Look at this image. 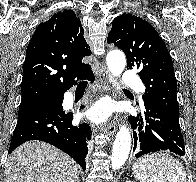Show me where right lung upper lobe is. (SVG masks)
<instances>
[{
    "instance_id": "1",
    "label": "right lung upper lobe",
    "mask_w": 196,
    "mask_h": 182,
    "mask_svg": "<svg viewBox=\"0 0 196 182\" xmlns=\"http://www.w3.org/2000/svg\"><path fill=\"white\" fill-rule=\"evenodd\" d=\"M76 14L64 10L36 28L27 47L20 105L61 97L91 69L82 59L91 55Z\"/></svg>"
}]
</instances>
